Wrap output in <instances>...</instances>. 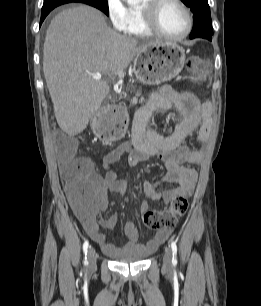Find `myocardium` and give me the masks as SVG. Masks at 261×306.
Here are the masks:
<instances>
[{
	"mask_svg": "<svg viewBox=\"0 0 261 306\" xmlns=\"http://www.w3.org/2000/svg\"><path fill=\"white\" fill-rule=\"evenodd\" d=\"M173 2L175 4H177L182 11L185 14L186 17V29L184 31V33H182L181 35L178 36H172V35H168L165 32H163L161 30V28L159 27L158 23H157V11L159 9V7L167 2ZM142 12H143V16H144V20L145 23L147 25V27L157 36L164 38L166 40H170V41H180L184 38H186L193 27V20H192V14L190 9L188 8V6L182 1V0H147L143 5H142Z\"/></svg>",
	"mask_w": 261,
	"mask_h": 306,
	"instance_id": "obj_1",
	"label": "myocardium"
}]
</instances>
